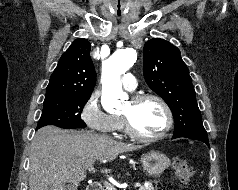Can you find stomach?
I'll return each instance as SVG.
<instances>
[{"instance_id":"0dacf381","label":"stomach","mask_w":238,"mask_h":190,"mask_svg":"<svg viewBox=\"0 0 238 190\" xmlns=\"http://www.w3.org/2000/svg\"><path fill=\"white\" fill-rule=\"evenodd\" d=\"M144 171L151 177L160 176L171 164L170 159L158 151H150L141 158Z\"/></svg>"}]
</instances>
